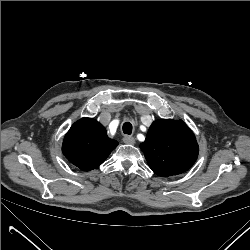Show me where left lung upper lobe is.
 Instances as JSON below:
<instances>
[{
  "label": "left lung upper lobe",
  "mask_w": 250,
  "mask_h": 250,
  "mask_svg": "<svg viewBox=\"0 0 250 250\" xmlns=\"http://www.w3.org/2000/svg\"><path fill=\"white\" fill-rule=\"evenodd\" d=\"M140 148L151 170L161 177L184 173L199 153L193 132L182 120L173 119L153 122Z\"/></svg>",
  "instance_id": "5c2ea615"
}]
</instances>
